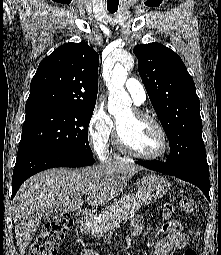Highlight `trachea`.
<instances>
[{
	"label": "trachea",
	"mask_w": 221,
	"mask_h": 255,
	"mask_svg": "<svg viewBox=\"0 0 221 255\" xmlns=\"http://www.w3.org/2000/svg\"><path fill=\"white\" fill-rule=\"evenodd\" d=\"M108 11H109L110 13H115V12L117 11V9L108 8Z\"/></svg>",
	"instance_id": "3493384b"
}]
</instances>
